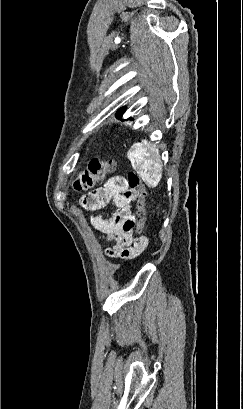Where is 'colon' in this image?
I'll return each instance as SVG.
<instances>
[{"label": "colon", "instance_id": "obj_1", "mask_svg": "<svg viewBox=\"0 0 243 409\" xmlns=\"http://www.w3.org/2000/svg\"><path fill=\"white\" fill-rule=\"evenodd\" d=\"M115 169L112 161H100L93 159L87 168L81 171L74 181L76 191H86L92 189L97 183L104 180ZM128 184L137 193V211L135 214V229L137 237L143 236L146 221L145 197L146 190L140 177L131 172L128 174Z\"/></svg>", "mask_w": 243, "mask_h": 409}]
</instances>
